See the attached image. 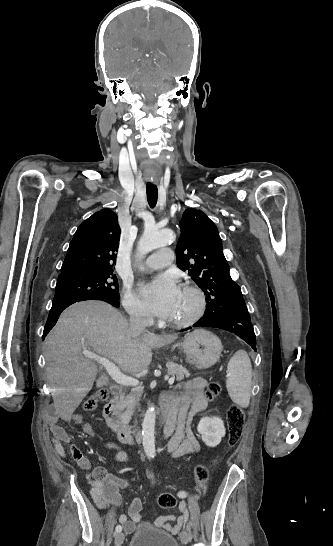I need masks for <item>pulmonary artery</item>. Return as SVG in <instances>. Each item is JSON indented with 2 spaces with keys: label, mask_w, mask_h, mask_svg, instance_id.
Instances as JSON below:
<instances>
[{
  "label": "pulmonary artery",
  "mask_w": 333,
  "mask_h": 546,
  "mask_svg": "<svg viewBox=\"0 0 333 546\" xmlns=\"http://www.w3.org/2000/svg\"><path fill=\"white\" fill-rule=\"evenodd\" d=\"M173 258V252L171 249L164 248L150 255L141 265L143 270H157L168 266Z\"/></svg>",
  "instance_id": "obj_1"
}]
</instances>
